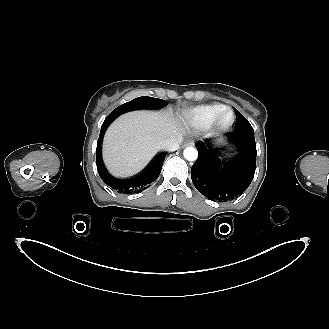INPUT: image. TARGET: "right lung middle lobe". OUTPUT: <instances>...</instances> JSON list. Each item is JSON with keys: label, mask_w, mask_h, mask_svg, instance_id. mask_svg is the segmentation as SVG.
Here are the masks:
<instances>
[{"label": "right lung middle lobe", "mask_w": 329, "mask_h": 329, "mask_svg": "<svg viewBox=\"0 0 329 329\" xmlns=\"http://www.w3.org/2000/svg\"><path fill=\"white\" fill-rule=\"evenodd\" d=\"M167 105V102L153 97H138L134 100L127 102L123 105L117 107L109 116L106 118L114 119L122 113L133 109H140V108H161Z\"/></svg>", "instance_id": "dd1d6c3e"}]
</instances>
